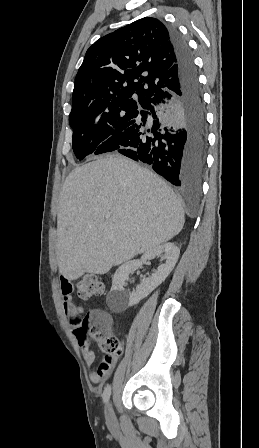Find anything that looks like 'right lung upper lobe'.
I'll use <instances>...</instances> for the list:
<instances>
[{
	"mask_svg": "<svg viewBox=\"0 0 259 448\" xmlns=\"http://www.w3.org/2000/svg\"><path fill=\"white\" fill-rule=\"evenodd\" d=\"M179 85L166 26L145 17L97 40L78 70L70 115L143 105Z\"/></svg>",
	"mask_w": 259,
	"mask_h": 448,
	"instance_id": "right-lung-upper-lobe-1",
	"label": "right lung upper lobe"
}]
</instances>
